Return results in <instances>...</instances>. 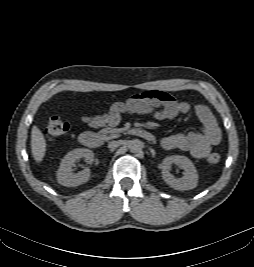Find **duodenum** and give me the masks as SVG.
<instances>
[{"label": "duodenum", "instance_id": "1", "mask_svg": "<svg viewBox=\"0 0 254 267\" xmlns=\"http://www.w3.org/2000/svg\"><path fill=\"white\" fill-rule=\"evenodd\" d=\"M128 133L140 138H143L147 141L154 140V136L142 129V128H132L128 130ZM111 138V133L104 132V133H95L91 131H85L80 134L79 141L82 145L89 147V148H98L101 147L107 139Z\"/></svg>", "mask_w": 254, "mask_h": 267}]
</instances>
